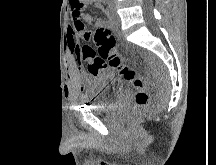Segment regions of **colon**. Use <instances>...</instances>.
<instances>
[{
  "label": "colon",
  "instance_id": "5ec220e1",
  "mask_svg": "<svg viewBox=\"0 0 216 165\" xmlns=\"http://www.w3.org/2000/svg\"><path fill=\"white\" fill-rule=\"evenodd\" d=\"M72 7L84 8L86 0H70ZM94 43L97 48L84 45L81 48L83 60L88 61V72L96 74L104 68L116 70L120 76L135 90V107L133 114L139 116L143 114L149 105V83L134 68L127 65L122 56L116 50V39L107 27L98 26L94 32Z\"/></svg>",
  "mask_w": 216,
  "mask_h": 165
}]
</instances>
